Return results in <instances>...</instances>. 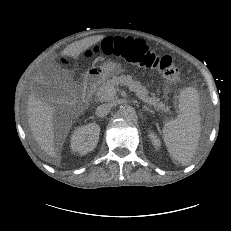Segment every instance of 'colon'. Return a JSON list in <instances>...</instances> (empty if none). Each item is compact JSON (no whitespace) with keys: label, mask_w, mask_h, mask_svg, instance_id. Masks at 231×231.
Masks as SVG:
<instances>
[{"label":"colon","mask_w":231,"mask_h":231,"mask_svg":"<svg viewBox=\"0 0 231 231\" xmlns=\"http://www.w3.org/2000/svg\"><path fill=\"white\" fill-rule=\"evenodd\" d=\"M95 50L106 56L121 58L141 68L157 69L163 73L169 84H175L180 80V71L175 65L173 57L156 54L140 39L131 37L106 38L100 45L95 46Z\"/></svg>","instance_id":"obj_1"}]
</instances>
